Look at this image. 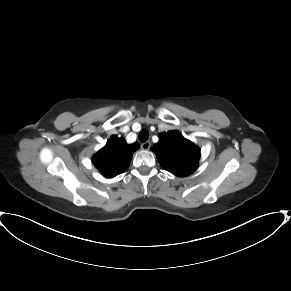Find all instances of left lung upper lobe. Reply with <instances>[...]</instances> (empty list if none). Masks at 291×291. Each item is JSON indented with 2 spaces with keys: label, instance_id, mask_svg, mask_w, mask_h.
Returning a JSON list of instances; mask_svg holds the SVG:
<instances>
[{
  "label": "left lung upper lobe",
  "instance_id": "left-lung-upper-lobe-1",
  "mask_svg": "<svg viewBox=\"0 0 291 291\" xmlns=\"http://www.w3.org/2000/svg\"><path fill=\"white\" fill-rule=\"evenodd\" d=\"M151 150L161 167L176 176L190 175L198 166L199 148L176 130L160 133L159 142Z\"/></svg>",
  "mask_w": 291,
  "mask_h": 291
}]
</instances>
